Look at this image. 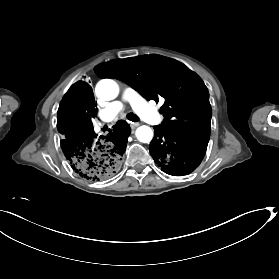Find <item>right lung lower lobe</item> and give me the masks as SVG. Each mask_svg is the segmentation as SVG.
Segmentation results:
<instances>
[{
  "instance_id": "obj_1",
  "label": "right lung lower lobe",
  "mask_w": 279,
  "mask_h": 279,
  "mask_svg": "<svg viewBox=\"0 0 279 279\" xmlns=\"http://www.w3.org/2000/svg\"><path fill=\"white\" fill-rule=\"evenodd\" d=\"M96 113L92 88L85 82H76L60 103L57 129L71 168L83 178L102 181L119 170L130 128L120 120L106 136L98 137L91 121Z\"/></svg>"
}]
</instances>
